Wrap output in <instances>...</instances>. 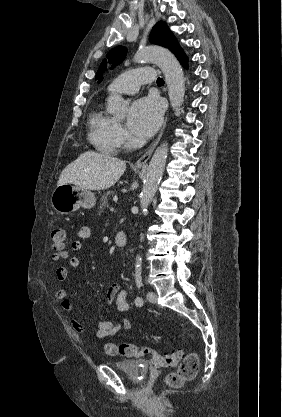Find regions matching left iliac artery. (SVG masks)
<instances>
[{
  "instance_id": "obj_1",
  "label": "left iliac artery",
  "mask_w": 282,
  "mask_h": 417,
  "mask_svg": "<svg viewBox=\"0 0 282 417\" xmlns=\"http://www.w3.org/2000/svg\"><path fill=\"white\" fill-rule=\"evenodd\" d=\"M136 284H137V287H138V288H141V287H142V285H143V283H142V279H141V278H137V279H136ZM135 304H136V306H141V305L143 304V300H142V298H141V297H137V298L135 299Z\"/></svg>"
}]
</instances>
